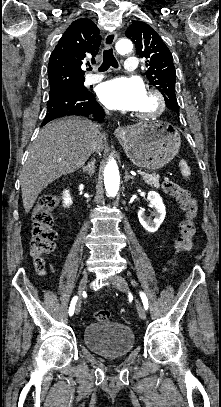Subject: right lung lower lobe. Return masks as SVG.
<instances>
[{
  "mask_svg": "<svg viewBox=\"0 0 221 407\" xmlns=\"http://www.w3.org/2000/svg\"><path fill=\"white\" fill-rule=\"evenodd\" d=\"M69 115H93L101 122L104 111L89 90H62L49 95L47 112L42 126L53 119Z\"/></svg>",
  "mask_w": 221,
  "mask_h": 407,
  "instance_id": "1",
  "label": "right lung lower lobe"
}]
</instances>
